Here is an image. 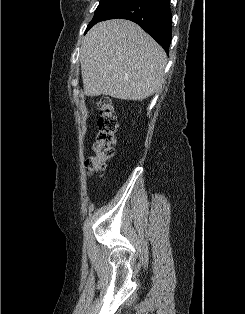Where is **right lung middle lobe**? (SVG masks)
Listing matches in <instances>:
<instances>
[{
	"label": "right lung middle lobe",
	"mask_w": 245,
	"mask_h": 314,
	"mask_svg": "<svg viewBox=\"0 0 245 314\" xmlns=\"http://www.w3.org/2000/svg\"><path fill=\"white\" fill-rule=\"evenodd\" d=\"M127 0H100L92 21L88 24L86 32L96 23L102 21L111 11ZM85 32V33H86Z\"/></svg>",
	"instance_id": "right-lung-middle-lobe-1"
}]
</instances>
